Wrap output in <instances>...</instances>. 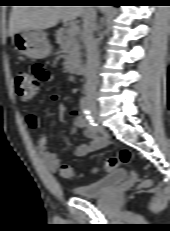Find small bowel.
Returning a JSON list of instances; mask_svg holds the SVG:
<instances>
[{"label": "small bowel", "instance_id": "obj_1", "mask_svg": "<svg viewBox=\"0 0 170 231\" xmlns=\"http://www.w3.org/2000/svg\"><path fill=\"white\" fill-rule=\"evenodd\" d=\"M30 73L38 82V84L40 82H45L51 79L44 64L40 62H35L32 64ZM71 114L74 117L73 131L82 130L84 135L90 139L89 143H82L75 148L74 154L77 157L86 156L90 152L101 149L106 145V140L89 128L85 117L77 109H73ZM26 123L33 130H37L40 126L39 119L34 113H29L26 116ZM37 150L42 164L49 171H55L58 169L60 166V159L55 153L48 149L47 138L45 135H40L38 137Z\"/></svg>", "mask_w": 170, "mask_h": 231}]
</instances>
